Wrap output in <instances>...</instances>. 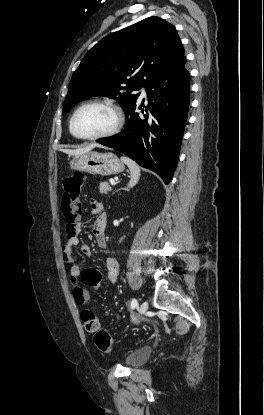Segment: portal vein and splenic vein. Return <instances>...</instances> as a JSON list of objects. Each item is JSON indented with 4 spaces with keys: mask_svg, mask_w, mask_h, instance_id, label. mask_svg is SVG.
Returning a JSON list of instances; mask_svg holds the SVG:
<instances>
[{
    "mask_svg": "<svg viewBox=\"0 0 264 415\" xmlns=\"http://www.w3.org/2000/svg\"><path fill=\"white\" fill-rule=\"evenodd\" d=\"M110 183H111L112 185H115V184H116L114 180H110Z\"/></svg>",
    "mask_w": 264,
    "mask_h": 415,
    "instance_id": "portal-vein-and-splenic-vein-1",
    "label": "portal vein and splenic vein"
}]
</instances>
